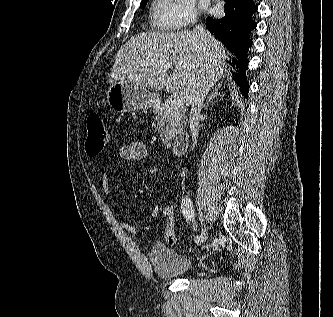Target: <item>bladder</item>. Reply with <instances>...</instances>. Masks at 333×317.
I'll return each mask as SVG.
<instances>
[{
  "label": "bladder",
  "instance_id": "1",
  "mask_svg": "<svg viewBox=\"0 0 333 317\" xmlns=\"http://www.w3.org/2000/svg\"><path fill=\"white\" fill-rule=\"evenodd\" d=\"M148 258L153 271L161 278L185 276L196 266L193 259L164 244L153 245L148 252Z\"/></svg>",
  "mask_w": 333,
  "mask_h": 317
}]
</instances>
